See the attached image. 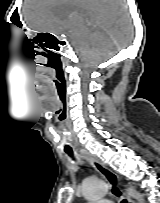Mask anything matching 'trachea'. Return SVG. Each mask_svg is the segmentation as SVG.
I'll return each mask as SVG.
<instances>
[{"label":"trachea","mask_w":160,"mask_h":203,"mask_svg":"<svg viewBox=\"0 0 160 203\" xmlns=\"http://www.w3.org/2000/svg\"><path fill=\"white\" fill-rule=\"evenodd\" d=\"M66 153L70 156L73 157V151L72 150H66ZM122 203H127L126 200H123Z\"/></svg>","instance_id":"3493384b"}]
</instances>
